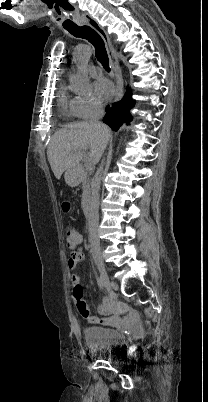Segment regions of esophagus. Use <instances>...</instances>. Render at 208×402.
I'll return each mask as SVG.
<instances>
[{"instance_id":"1","label":"esophagus","mask_w":208,"mask_h":402,"mask_svg":"<svg viewBox=\"0 0 208 402\" xmlns=\"http://www.w3.org/2000/svg\"><path fill=\"white\" fill-rule=\"evenodd\" d=\"M81 23L90 25V27H92L104 40V43L106 45L107 54L109 57V61L114 70V73H115L116 93H115L114 101L117 102L118 100L121 99V97L123 95V81H122V75H121V71H120V67H119V62L116 57V52L114 50V47L111 44L110 38H109L106 30H104V28L101 25H99L97 20L89 13H84L82 15Z\"/></svg>"}]
</instances>
